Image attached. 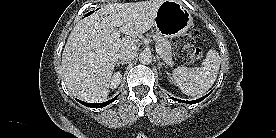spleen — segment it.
<instances>
[{"label": "spleen", "mask_w": 276, "mask_h": 138, "mask_svg": "<svg viewBox=\"0 0 276 138\" xmlns=\"http://www.w3.org/2000/svg\"><path fill=\"white\" fill-rule=\"evenodd\" d=\"M221 58L215 49H210L201 67H177L172 77L178 87L188 96H198L209 90L214 84Z\"/></svg>", "instance_id": "spleen-1"}]
</instances>
